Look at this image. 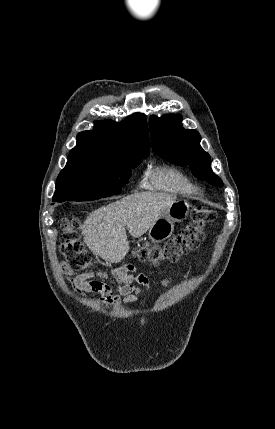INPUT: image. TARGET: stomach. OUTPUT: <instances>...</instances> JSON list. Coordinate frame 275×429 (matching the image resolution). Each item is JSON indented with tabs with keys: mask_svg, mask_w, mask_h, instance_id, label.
Listing matches in <instances>:
<instances>
[{
	"mask_svg": "<svg viewBox=\"0 0 275 429\" xmlns=\"http://www.w3.org/2000/svg\"><path fill=\"white\" fill-rule=\"evenodd\" d=\"M189 212V203L187 201H175L151 226L148 235L156 243L169 238L174 232V224L186 219Z\"/></svg>",
	"mask_w": 275,
	"mask_h": 429,
	"instance_id": "stomach-1",
	"label": "stomach"
}]
</instances>
